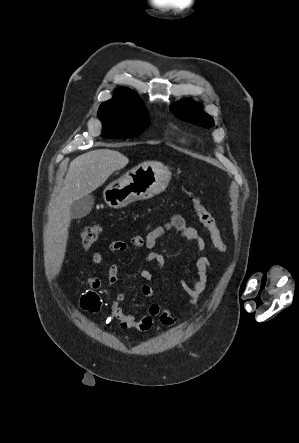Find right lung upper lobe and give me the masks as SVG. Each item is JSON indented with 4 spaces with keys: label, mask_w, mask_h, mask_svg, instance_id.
<instances>
[{
    "label": "right lung upper lobe",
    "mask_w": 299,
    "mask_h": 443,
    "mask_svg": "<svg viewBox=\"0 0 299 443\" xmlns=\"http://www.w3.org/2000/svg\"><path fill=\"white\" fill-rule=\"evenodd\" d=\"M104 103H118L132 107L144 108L139 97L128 88L117 89L114 97Z\"/></svg>",
    "instance_id": "right-lung-upper-lobe-1"
}]
</instances>
